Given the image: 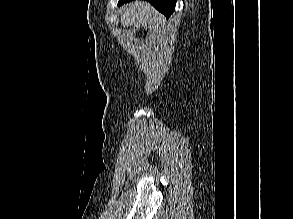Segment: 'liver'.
Listing matches in <instances>:
<instances>
[{"instance_id":"obj_1","label":"liver","mask_w":293,"mask_h":219,"mask_svg":"<svg viewBox=\"0 0 293 219\" xmlns=\"http://www.w3.org/2000/svg\"><path fill=\"white\" fill-rule=\"evenodd\" d=\"M121 10L120 22L123 27L132 26L138 21L144 29H152L165 20L163 15L145 1L130 2L122 6Z\"/></svg>"}]
</instances>
